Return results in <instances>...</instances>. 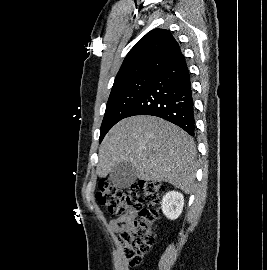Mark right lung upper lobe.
Listing matches in <instances>:
<instances>
[{"label": "right lung upper lobe", "mask_w": 267, "mask_h": 270, "mask_svg": "<svg viewBox=\"0 0 267 270\" xmlns=\"http://www.w3.org/2000/svg\"><path fill=\"white\" fill-rule=\"evenodd\" d=\"M180 52L177 41L169 31L154 29L148 32L128 52L113 87L141 75H155Z\"/></svg>", "instance_id": "right-lung-upper-lobe-1"}]
</instances>
